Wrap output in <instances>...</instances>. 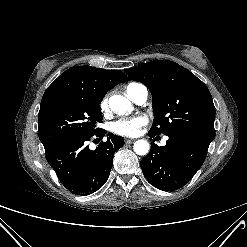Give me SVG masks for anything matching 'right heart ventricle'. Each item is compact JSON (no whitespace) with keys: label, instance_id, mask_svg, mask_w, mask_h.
<instances>
[{"label":"right heart ventricle","instance_id":"right-heart-ventricle-1","mask_svg":"<svg viewBox=\"0 0 247 247\" xmlns=\"http://www.w3.org/2000/svg\"><path fill=\"white\" fill-rule=\"evenodd\" d=\"M136 84H137V83H131V84L128 85V87L133 86V85H136ZM128 87H127V88H128Z\"/></svg>","mask_w":247,"mask_h":247}]
</instances>
